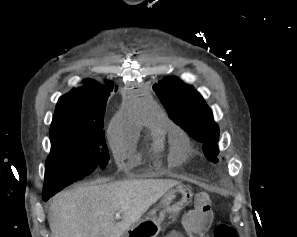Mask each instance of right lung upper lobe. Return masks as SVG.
Masks as SVG:
<instances>
[{
  "mask_svg": "<svg viewBox=\"0 0 297 237\" xmlns=\"http://www.w3.org/2000/svg\"><path fill=\"white\" fill-rule=\"evenodd\" d=\"M84 84L59 98L51 127L63 124H103L113 84L106 81V86H101L92 79L84 80Z\"/></svg>",
  "mask_w": 297,
  "mask_h": 237,
  "instance_id": "obj_1",
  "label": "right lung upper lobe"
}]
</instances>
